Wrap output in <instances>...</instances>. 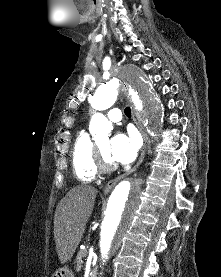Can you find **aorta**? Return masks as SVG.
<instances>
[{
    "label": "aorta",
    "mask_w": 221,
    "mask_h": 277,
    "mask_svg": "<svg viewBox=\"0 0 221 277\" xmlns=\"http://www.w3.org/2000/svg\"><path fill=\"white\" fill-rule=\"evenodd\" d=\"M120 92L131 97L135 109L143 114L151 131L157 136L163 130L164 109L160 98L153 91L144 73L136 66H128L117 77L100 85L90 103L97 110L110 108ZM112 125L101 113L90 120L89 131L95 139L108 137ZM141 187L138 182L124 180L113 189L101 223L100 257L105 263L119 248L130 229L141 203Z\"/></svg>",
    "instance_id": "762f6f07"
}]
</instances>
